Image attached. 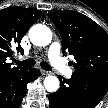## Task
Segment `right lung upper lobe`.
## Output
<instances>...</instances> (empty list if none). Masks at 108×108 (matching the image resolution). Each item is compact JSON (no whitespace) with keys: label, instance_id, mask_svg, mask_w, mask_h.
Returning <instances> with one entry per match:
<instances>
[{"label":"right lung upper lobe","instance_id":"cb5924a9","mask_svg":"<svg viewBox=\"0 0 108 108\" xmlns=\"http://www.w3.org/2000/svg\"><path fill=\"white\" fill-rule=\"evenodd\" d=\"M41 15V11L32 8L10 7L0 10V78L17 75L27 69L12 67L6 60L12 57L14 47L18 52H24L20 46L21 39Z\"/></svg>","mask_w":108,"mask_h":108}]
</instances>
